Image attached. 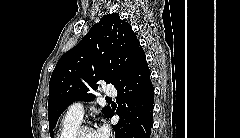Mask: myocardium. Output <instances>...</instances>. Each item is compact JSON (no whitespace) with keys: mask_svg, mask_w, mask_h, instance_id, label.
Instances as JSON below:
<instances>
[{"mask_svg":"<svg viewBox=\"0 0 240 138\" xmlns=\"http://www.w3.org/2000/svg\"><path fill=\"white\" fill-rule=\"evenodd\" d=\"M91 127L89 125L86 124H81L79 125L76 130L72 133L70 138H81L82 134L87 131L90 130Z\"/></svg>","mask_w":240,"mask_h":138,"instance_id":"1","label":"myocardium"}]
</instances>
